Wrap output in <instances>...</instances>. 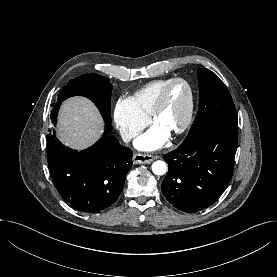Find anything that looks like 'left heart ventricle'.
<instances>
[{"instance_id":"obj_1","label":"left heart ventricle","mask_w":277,"mask_h":277,"mask_svg":"<svg viewBox=\"0 0 277 277\" xmlns=\"http://www.w3.org/2000/svg\"><path fill=\"white\" fill-rule=\"evenodd\" d=\"M188 91L184 84L176 83L169 90L165 106L156 119L158 125L171 134L179 128L185 116Z\"/></svg>"}]
</instances>
